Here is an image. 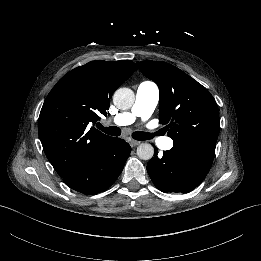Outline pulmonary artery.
<instances>
[{
    "instance_id": "1",
    "label": "pulmonary artery",
    "mask_w": 261,
    "mask_h": 261,
    "mask_svg": "<svg viewBox=\"0 0 261 261\" xmlns=\"http://www.w3.org/2000/svg\"><path fill=\"white\" fill-rule=\"evenodd\" d=\"M160 92L157 85L151 81H143L138 85L134 107L131 113H121L113 118V122L117 125H127L139 116L148 119L158 105ZM157 146L166 151L175 149V142L166 137L157 139Z\"/></svg>"
}]
</instances>
